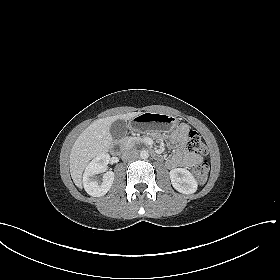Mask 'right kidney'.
<instances>
[{"instance_id": "obj_1", "label": "right kidney", "mask_w": 280, "mask_h": 280, "mask_svg": "<svg viewBox=\"0 0 280 280\" xmlns=\"http://www.w3.org/2000/svg\"><path fill=\"white\" fill-rule=\"evenodd\" d=\"M110 160L108 154H100L94 158L86 167L83 175V186L85 191L93 197L104 196L111 188L114 181V173L108 171L103 175L102 182H99L96 175L105 171Z\"/></svg>"}]
</instances>
